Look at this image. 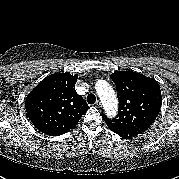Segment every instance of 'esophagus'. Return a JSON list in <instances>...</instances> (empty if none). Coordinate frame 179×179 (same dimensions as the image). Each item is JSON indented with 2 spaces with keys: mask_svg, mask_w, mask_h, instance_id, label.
Here are the masks:
<instances>
[{
  "mask_svg": "<svg viewBox=\"0 0 179 179\" xmlns=\"http://www.w3.org/2000/svg\"><path fill=\"white\" fill-rule=\"evenodd\" d=\"M95 106H96L97 108H101V107H102V104H101L100 101H97V102L95 103Z\"/></svg>",
  "mask_w": 179,
  "mask_h": 179,
  "instance_id": "34e87169",
  "label": "esophagus"
}]
</instances>
